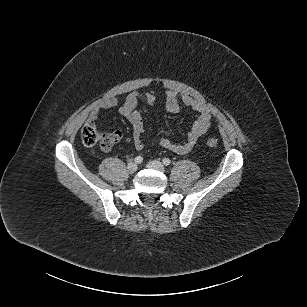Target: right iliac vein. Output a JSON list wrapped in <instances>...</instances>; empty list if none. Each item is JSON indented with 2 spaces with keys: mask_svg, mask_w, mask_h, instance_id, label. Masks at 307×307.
Returning a JSON list of instances; mask_svg holds the SVG:
<instances>
[{
  "mask_svg": "<svg viewBox=\"0 0 307 307\" xmlns=\"http://www.w3.org/2000/svg\"><path fill=\"white\" fill-rule=\"evenodd\" d=\"M127 169L130 173H134L137 171V165L131 162L127 165Z\"/></svg>",
  "mask_w": 307,
  "mask_h": 307,
  "instance_id": "63e3f726",
  "label": "right iliac vein"
}]
</instances>
